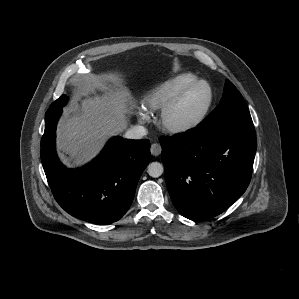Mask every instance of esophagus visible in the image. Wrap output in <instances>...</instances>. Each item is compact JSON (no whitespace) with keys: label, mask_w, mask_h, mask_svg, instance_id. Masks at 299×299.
Listing matches in <instances>:
<instances>
[{"label":"esophagus","mask_w":299,"mask_h":299,"mask_svg":"<svg viewBox=\"0 0 299 299\" xmlns=\"http://www.w3.org/2000/svg\"><path fill=\"white\" fill-rule=\"evenodd\" d=\"M150 151L153 156H158L161 154L162 148H161L160 144L153 143L151 145Z\"/></svg>","instance_id":"obj_1"}]
</instances>
